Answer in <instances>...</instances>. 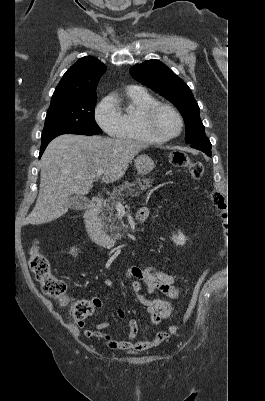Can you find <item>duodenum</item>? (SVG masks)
<instances>
[{
	"mask_svg": "<svg viewBox=\"0 0 265 401\" xmlns=\"http://www.w3.org/2000/svg\"><path fill=\"white\" fill-rule=\"evenodd\" d=\"M100 210V199L97 197L92 198L84 214L85 226L93 242L101 247L110 249L115 246L116 241L112 237H110L99 225L98 214ZM146 218L147 216L144 212L138 211L137 220L139 223H143Z\"/></svg>",
	"mask_w": 265,
	"mask_h": 401,
	"instance_id": "obj_1",
	"label": "duodenum"
}]
</instances>
